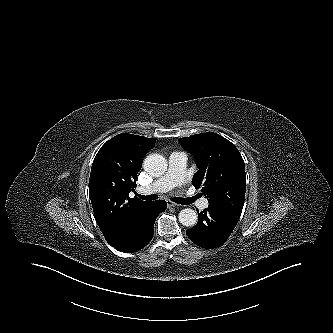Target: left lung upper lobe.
<instances>
[{
  "label": "left lung upper lobe",
  "instance_id": "5c2ea615",
  "mask_svg": "<svg viewBox=\"0 0 333 333\" xmlns=\"http://www.w3.org/2000/svg\"><path fill=\"white\" fill-rule=\"evenodd\" d=\"M181 146L192 153L199 171L192 184L207 197L210 205L240 217L245 199L246 174L238 149L224 137L201 133L180 138Z\"/></svg>",
  "mask_w": 333,
  "mask_h": 333
}]
</instances>
